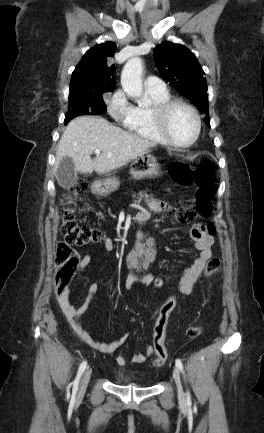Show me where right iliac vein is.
Wrapping results in <instances>:
<instances>
[{
  "label": "right iliac vein",
  "instance_id": "1",
  "mask_svg": "<svg viewBox=\"0 0 264 433\" xmlns=\"http://www.w3.org/2000/svg\"><path fill=\"white\" fill-rule=\"evenodd\" d=\"M91 372H92L91 368H88L84 372V374L81 378V381H80L79 388H78L77 398L83 396V394L85 393L87 385H88L90 377H91Z\"/></svg>",
  "mask_w": 264,
  "mask_h": 433
}]
</instances>
